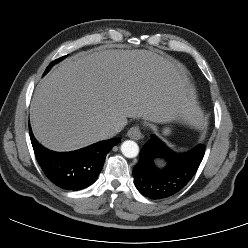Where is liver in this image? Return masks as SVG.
I'll return each mask as SVG.
<instances>
[{"instance_id": "obj_1", "label": "liver", "mask_w": 248, "mask_h": 248, "mask_svg": "<svg viewBox=\"0 0 248 248\" xmlns=\"http://www.w3.org/2000/svg\"><path fill=\"white\" fill-rule=\"evenodd\" d=\"M185 91L175 66L148 50L81 52L37 85L30 108L36 139L55 151H71L110 138L127 118L169 121Z\"/></svg>"}]
</instances>
